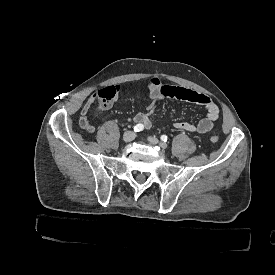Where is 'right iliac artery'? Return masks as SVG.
I'll return each instance as SVG.
<instances>
[{"label":"right iliac artery","instance_id":"obj_1","mask_svg":"<svg viewBox=\"0 0 275 275\" xmlns=\"http://www.w3.org/2000/svg\"><path fill=\"white\" fill-rule=\"evenodd\" d=\"M144 129V126L142 124H137L136 126H134V131L135 132H140Z\"/></svg>","mask_w":275,"mask_h":275}]
</instances>
